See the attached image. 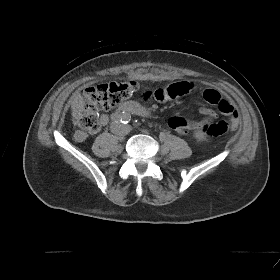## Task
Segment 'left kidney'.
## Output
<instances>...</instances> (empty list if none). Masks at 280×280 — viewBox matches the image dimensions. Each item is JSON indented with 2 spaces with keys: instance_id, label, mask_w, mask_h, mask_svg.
I'll return each mask as SVG.
<instances>
[{
  "instance_id": "obj_1",
  "label": "left kidney",
  "mask_w": 280,
  "mask_h": 280,
  "mask_svg": "<svg viewBox=\"0 0 280 280\" xmlns=\"http://www.w3.org/2000/svg\"><path fill=\"white\" fill-rule=\"evenodd\" d=\"M194 137L198 140V141H204L206 139V136L203 132L201 131H196L194 133Z\"/></svg>"
}]
</instances>
